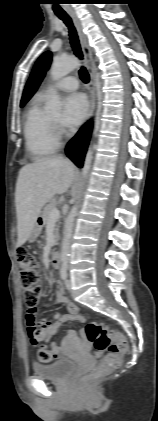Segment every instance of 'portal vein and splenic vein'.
Here are the masks:
<instances>
[{
  "instance_id": "18ae733b",
  "label": "portal vein and splenic vein",
  "mask_w": 158,
  "mask_h": 421,
  "mask_svg": "<svg viewBox=\"0 0 158 421\" xmlns=\"http://www.w3.org/2000/svg\"><path fill=\"white\" fill-rule=\"evenodd\" d=\"M60 217V212L57 208L53 209L50 213L51 220H57Z\"/></svg>"
}]
</instances>
